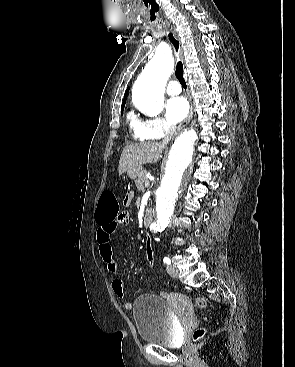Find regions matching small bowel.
<instances>
[{
    "mask_svg": "<svg viewBox=\"0 0 295 367\" xmlns=\"http://www.w3.org/2000/svg\"><path fill=\"white\" fill-rule=\"evenodd\" d=\"M132 193H127L125 199H129V203L132 200ZM98 229H97V243L99 247L100 256L105 263L106 269L113 274H116L119 269V264L114 259L113 250L111 245V236L116 230L118 225L127 226L129 224V219L127 217V210L123 209L122 212L118 213V220L113 219L107 222H102L97 219ZM112 290L115 296L119 299L125 297V284L122 279L115 278L111 284ZM124 307L127 310L132 309V303L126 302Z\"/></svg>",
    "mask_w": 295,
    "mask_h": 367,
    "instance_id": "obj_1",
    "label": "small bowel"
}]
</instances>
